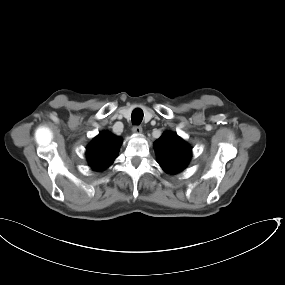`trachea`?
Here are the masks:
<instances>
[{
  "label": "trachea",
  "mask_w": 285,
  "mask_h": 285,
  "mask_svg": "<svg viewBox=\"0 0 285 285\" xmlns=\"http://www.w3.org/2000/svg\"><path fill=\"white\" fill-rule=\"evenodd\" d=\"M143 119V111L139 108L133 110L132 115H131V120L133 124H140V122Z\"/></svg>",
  "instance_id": "obj_1"
}]
</instances>
